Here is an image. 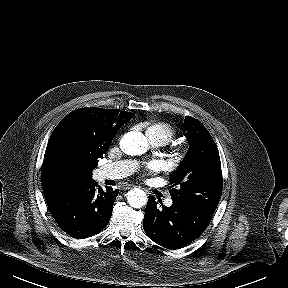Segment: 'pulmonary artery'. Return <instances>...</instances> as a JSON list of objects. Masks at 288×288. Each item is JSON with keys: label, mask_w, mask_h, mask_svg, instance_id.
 <instances>
[{"label": "pulmonary artery", "mask_w": 288, "mask_h": 288, "mask_svg": "<svg viewBox=\"0 0 288 288\" xmlns=\"http://www.w3.org/2000/svg\"><path fill=\"white\" fill-rule=\"evenodd\" d=\"M153 145L155 146H163L166 143L160 139H149ZM136 169V162L125 160L118 161L113 163H108L101 166L97 171V178L99 180L104 179H119L125 176L130 175ZM173 203L171 198H167L165 200L166 206H171Z\"/></svg>", "instance_id": "e3ab8cb5"}]
</instances>
